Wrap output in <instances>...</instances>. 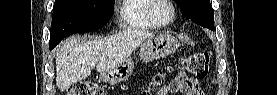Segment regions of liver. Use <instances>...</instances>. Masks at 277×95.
Listing matches in <instances>:
<instances>
[{
	"label": "liver",
	"instance_id": "1",
	"mask_svg": "<svg viewBox=\"0 0 277 95\" xmlns=\"http://www.w3.org/2000/svg\"><path fill=\"white\" fill-rule=\"evenodd\" d=\"M153 36L142 30H124L87 42L79 37L69 38L56 51V86L64 91L90 76L95 67L100 73L114 69L127 60L142 42Z\"/></svg>",
	"mask_w": 277,
	"mask_h": 95
}]
</instances>
